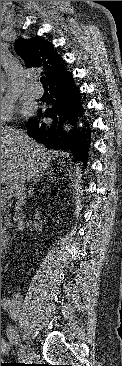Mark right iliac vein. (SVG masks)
Instances as JSON below:
<instances>
[{"instance_id": "obj_1", "label": "right iliac vein", "mask_w": 122, "mask_h": 366, "mask_svg": "<svg viewBox=\"0 0 122 366\" xmlns=\"http://www.w3.org/2000/svg\"><path fill=\"white\" fill-rule=\"evenodd\" d=\"M12 315H14L15 319H18L19 317V310L17 307H14L13 311H12Z\"/></svg>"}]
</instances>
